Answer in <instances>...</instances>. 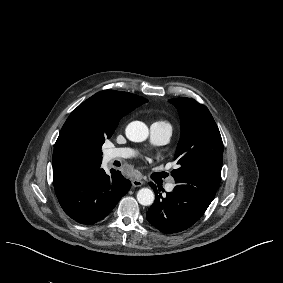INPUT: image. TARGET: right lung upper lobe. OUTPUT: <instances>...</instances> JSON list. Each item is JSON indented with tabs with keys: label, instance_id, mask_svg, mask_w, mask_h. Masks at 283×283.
Returning <instances> with one entry per match:
<instances>
[{
	"label": "right lung upper lobe",
	"instance_id": "1",
	"mask_svg": "<svg viewBox=\"0 0 283 283\" xmlns=\"http://www.w3.org/2000/svg\"><path fill=\"white\" fill-rule=\"evenodd\" d=\"M148 102L135 94L104 90L85 100L64 123L53 153L54 187L60 188L101 165V147L119 120Z\"/></svg>",
	"mask_w": 283,
	"mask_h": 283
}]
</instances>
